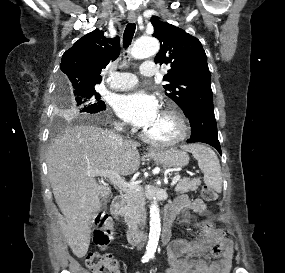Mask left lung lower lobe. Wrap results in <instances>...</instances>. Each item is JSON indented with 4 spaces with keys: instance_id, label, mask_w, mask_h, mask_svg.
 Segmentation results:
<instances>
[{
    "instance_id": "0a47b994",
    "label": "left lung lower lobe",
    "mask_w": 285,
    "mask_h": 273,
    "mask_svg": "<svg viewBox=\"0 0 285 273\" xmlns=\"http://www.w3.org/2000/svg\"><path fill=\"white\" fill-rule=\"evenodd\" d=\"M191 123V138L187 141L203 142L215 147L221 153L217 136V124L213 107L194 108L185 113Z\"/></svg>"
}]
</instances>
